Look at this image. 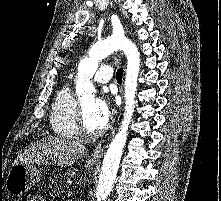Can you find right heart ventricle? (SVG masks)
<instances>
[{"instance_id":"obj_1","label":"right heart ventricle","mask_w":221,"mask_h":201,"mask_svg":"<svg viewBox=\"0 0 221 201\" xmlns=\"http://www.w3.org/2000/svg\"><path fill=\"white\" fill-rule=\"evenodd\" d=\"M77 106L78 100L69 86H64L57 92L50 112V125L57 135L65 138L78 135Z\"/></svg>"}]
</instances>
